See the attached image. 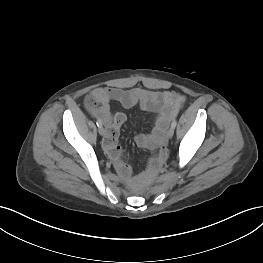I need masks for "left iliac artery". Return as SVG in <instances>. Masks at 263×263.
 Returning <instances> with one entry per match:
<instances>
[{"mask_svg": "<svg viewBox=\"0 0 263 263\" xmlns=\"http://www.w3.org/2000/svg\"><path fill=\"white\" fill-rule=\"evenodd\" d=\"M177 125V121L176 120H173L172 124H171V127L175 128Z\"/></svg>", "mask_w": 263, "mask_h": 263, "instance_id": "1", "label": "left iliac artery"}]
</instances>
